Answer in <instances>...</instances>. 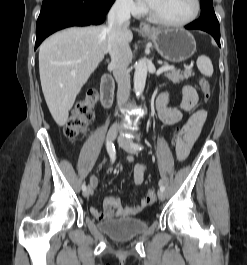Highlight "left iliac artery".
<instances>
[{"label": "left iliac artery", "mask_w": 247, "mask_h": 265, "mask_svg": "<svg viewBox=\"0 0 247 265\" xmlns=\"http://www.w3.org/2000/svg\"><path fill=\"white\" fill-rule=\"evenodd\" d=\"M133 147H134L136 150H142V149H143V145H141L140 143H134V144H133ZM159 185H160V190H161V191H164V190H165V186L162 184V182H159Z\"/></svg>", "instance_id": "44dca946"}]
</instances>
